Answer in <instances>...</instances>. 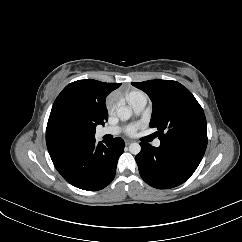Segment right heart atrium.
<instances>
[{
  "label": "right heart atrium",
  "instance_id": "right-heart-atrium-1",
  "mask_svg": "<svg viewBox=\"0 0 242 242\" xmlns=\"http://www.w3.org/2000/svg\"><path fill=\"white\" fill-rule=\"evenodd\" d=\"M107 107L109 110H112L114 108V102L113 100H109L107 103Z\"/></svg>",
  "mask_w": 242,
  "mask_h": 242
}]
</instances>
